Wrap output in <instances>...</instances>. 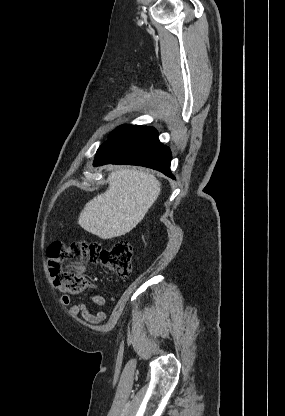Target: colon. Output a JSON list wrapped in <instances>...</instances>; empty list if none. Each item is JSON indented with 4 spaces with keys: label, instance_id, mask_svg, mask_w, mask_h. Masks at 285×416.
<instances>
[{
    "label": "colon",
    "instance_id": "1",
    "mask_svg": "<svg viewBox=\"0 0 285 416\" xmlns=\"http://www.w3.org/2000/svg\"><path fill=\"white\" fill-rule=\"evenodd\" d=\"M132 246L127 241H117L108 248L99 244L77 241H56L48 248L49 272L54 286L65 293H79L86 287L84 261L99 264L121 278L132 271Z\"/></svg>",
    "mask_w": 285,
    "mask_h": 416
}]
</instances>
